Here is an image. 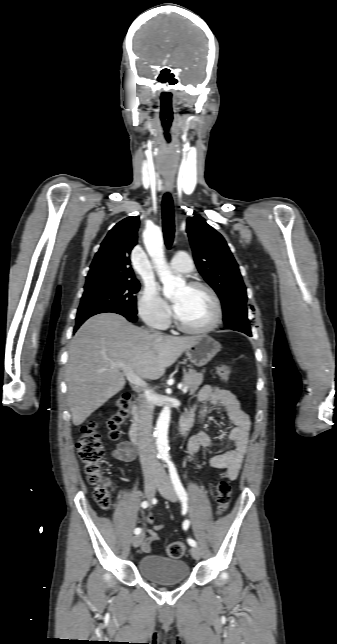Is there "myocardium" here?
Returning a JSON list of instances; mask_svg holds the SVG:
<instances>
[{"label": "myocardium", "mask_w": 337, "mask_h": 644, "mask_svg": "<svg viewBox=\"0 0 337 644\" xmlns=\"http://www.w3.org/2000/svg\"><path fill=\"white\" fill-rule=\"evenodd\" d=\"M187 287L190 289H203L205 290L211 297L213 305H214V317L211 321V323L203 328H191L183 324L180 319L176 316L175 313H173L172 318L175 326L182 332L188 333V334H193V335H204L208 334L212 331H214L221 323L222 321V316H223V311H222V305L221 301L215 292V290L209 286L208 284L200 281H192L187 284Z\"/></svg>", "instance_id": "obj_1"}]
</instances>
